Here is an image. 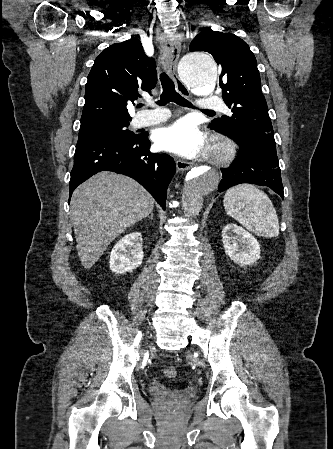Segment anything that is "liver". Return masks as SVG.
Returning a JSON list of instances; mask_svg holds the SVG:
<instances>
[{
	"instance_id": "6515ba94",
	"label": "liver",
	"mask_w": 333,
	"mask_h": 449,
	"mask_svg": "<svg viewBox=\"0 0 333 449\" xmlns=\"http://www.w3.org/2000/svg\"><path fill=\"white\" fill-rule=\"evenodd\" d=\"M153 208L152 196L125 175L103 171L77 187L70 211L84 268L90 269L118 235L149 216Z\"/></svg>"
}]
</instances>
